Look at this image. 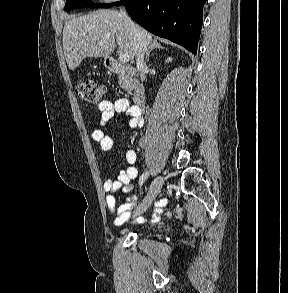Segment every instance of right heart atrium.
<instances>
[{"label":"right heart atrium","mask_w":288,"mask_h":293,"mask_svg":"<svg viewBox=\"0 0 288 293\" xmlns=\"http://www.w3.org/2000/svg\"><path fill=\"white\" fill-rule=\"evenodd\" d=\"M104 1H106V2H112V1H115V0H104Z\"/></svg>","instance_id":"obj_1"}]
</instances>
